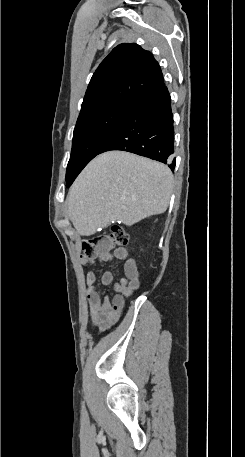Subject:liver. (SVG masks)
<instances>
[{
	"label": "liver",
	"mask_w": 245,
	"mask_h": 457,
	"mask_svg": "<svg viewBox=\"0 0 245 457\" xmlns=\"http://www.w3.org/2000/svg\"><path fill=\"white\" fill-rule=\"evenodd\" d=\"M173 174L167 164L125 150L93 158L69 188L68 216L78 235L89 237L111 220L135 224L165 212Z\"/></svg>",
	"instance_id": "liver-1"
}]
</instances>
